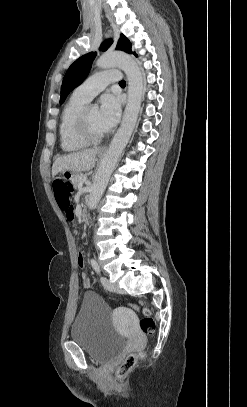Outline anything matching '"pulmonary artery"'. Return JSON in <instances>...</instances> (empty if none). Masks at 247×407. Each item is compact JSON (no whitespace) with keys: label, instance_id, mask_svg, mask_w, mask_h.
<instances>
[{"label":"pulmonary artery","instance_id":"obj_1","mask_svg":"<svg viewBox=\"0 0 247 407\" xmlns=\"http://www.w3.org/2000/svg\"><path fill=\"white\" fill-rule=\"evenodd\" d=\"M120 78L121 74L118 70H108L95 73L75 89L73 97L89 102L93 97L105 89L108 84L116 83L120 81Z\"/></svg>","mask_w":247,"mask_h":407}]
</instances>
